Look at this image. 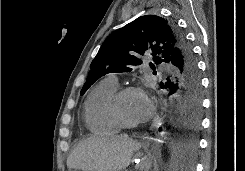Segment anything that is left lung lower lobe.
I'll list each match as a JSON object with an SVG mask.
<instances>
[{
    "mask_svg": "<svg viewBox=\"0 0 245 171\" xmlns=\"http://www.w3.org/2000/svg\"><path fill=\"white\" fill-rule=\"evenodd\" d=\"M170 64L175 73L167 78L165 85L161 84V88L168 89L170 94L176 93L179 112L176 122L184 128L194 129L199 125L202 100L199 72L191 47L176 51ZM174 147L176 167H192L191 159L197 148L196 137L183 132L175 138Z\"/></svg>",
    "mask_w": 245,
    "mask_h": 171,
    "instance_id": "obj_1",
    "label": "left lung lower lobe"
}]
</instances>
